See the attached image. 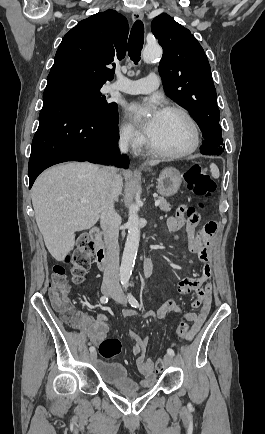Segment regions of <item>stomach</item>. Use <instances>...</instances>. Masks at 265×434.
Wrapping results in <instances>:
<instances>
[{
    "label": "stomach",
    "mask_w": 265,
    "mask_h": 434,
    "mask_svg": "<svg viewBox=\"0 0 265 434\" xmlns=\"http://www.w3.org/2000/svg\"><path fill=\"white\" fill-rule=\"evenodd\" d=\"M181 182V174L176 168H165L158 178L157 192L164 198L174 196V194H177Z\"/></svg>",
    "instance_id": "1"
}]
</instances>
